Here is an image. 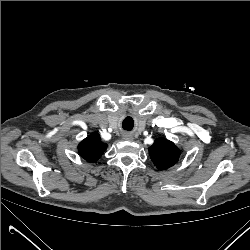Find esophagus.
I'll use <instances>...</instances> for the list:
<instances>
[{
	"mask_svg": "<svg viewBox=\"0 0 250 250\" xmlns=\"http://www.w3.org/2000/svg\"><path fill=\"white\" fill-rule=\"evenodd\" d=\"M123 139L130 141L133 139V136L131 134H124Z\"/></svg>",
	"mask_w": 250,
	"mask_h": 250,
	"instance_id": "34e87169",
	"label": "esophagus"
}]
</instances>
